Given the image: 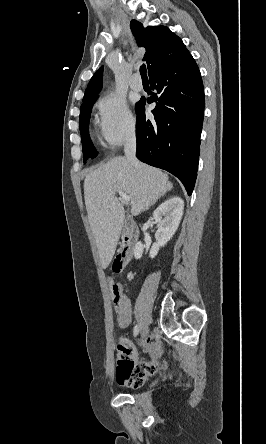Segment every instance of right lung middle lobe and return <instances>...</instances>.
Masks as SVG:
<instances>
[{
  "mask_svg": "<svg viewBox=\"0 0 266 444\" xmlns=\"http://www.w3.org/2000/svg\"><path fill=\"white\" fill-rule=\"evenodd\" d=\"M96 99L84 102L81 105V111H80V133H81V140H82V146H83V156L84 161L87 158H94L97 156V152L95 151L93 144L91 142V139L89 137V119H90V113L93 107V104L95 103Z\"/></svg>",
  "mask_w": 266,
  "mask_h": 444,
  "instance_id": "dd1d6c3e",
  "label": "right lung middle lobe"
}]
</instances>
